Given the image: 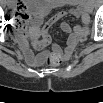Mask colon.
I'll return each instance as SVG.
<instances>
[{"label": "colon", "mask_w": 103, "mask_h": 103, "mask_svg": "<svg viewBox=\"0 0 103 103\" xmlns=\"http://www.w3.org/2000/svg\"><path fill=\"white\" fill-rule=\"evenodd\" d=\"M18 5H16L17 7ZM16 12V11H15ZM28 20V14H25L24 15V18L22 20H18L16 21V25L17 26H25L26 22ZM52 64H58L57 62H53V61H50Z\"/></svg>", "instance_id": "colon-1"}]
</instances>
